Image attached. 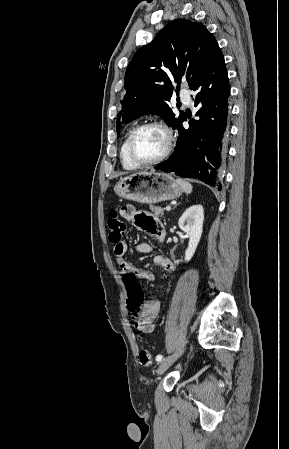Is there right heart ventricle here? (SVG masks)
Listing matches in <instances>:
<instances>
[{
    "label": "right heart ventricle",
    "mask_w": 289,
    "mask_h": 449,
    "mask_svg": "<svg viewBox=\"0 0 289 449\" xmlns=\"http://www.w3.org/2000/svg\"><path fill=\"white\" fill-rule=\"evenodd\" d=\"M131 132H132V130H130L128 132V134L126 135V137L122 143L121 150H120V157H121L122 165L127 170H134L139 167L131 160V158L129 156L128 142H129V137H130Z\"/></svg>",
    "instance_id": "1"
}]
</instances>
